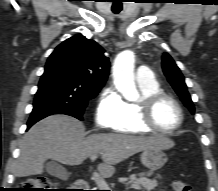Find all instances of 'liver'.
I'll return each instance as SVG.
<instances>
[{
	"instance_id": "6515ba94",
	"label": "liver",
	"mask_w": 218,
	"mask_h": 191,
	"mask_svg": "<svg viewBox=\"0 0 218 191\" xmlns=\"http://www.w3.org/2000/svg\"><path fill=\"white\" fill-rule=\"evenodd\" d=\"M174 142L162 135L92 134L85 137V127L67 115H52L36 123L25 134L15 167L17 177L43 173L44 163L55 159L66 165H80L92 155L101 154L99 173L110 177L114 165L150 148L170 149Z\"/></svg>"
}]
</instances>
